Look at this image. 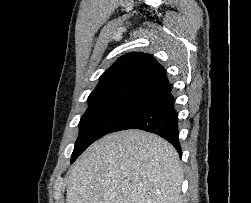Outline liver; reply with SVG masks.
Returning a JSON list of instances; mask_svg holds the SVG:
<instances>
[{"instance_id": "obj_1", "label": "liver", "mask_w": 251, "mask_h": 203, "mask_svg": "<svg viewBox=\"0 0 251 203\" xmlns=\"http://www.w3.org/2000/svg\"><path fill=\"white\" fill-rule=\"evenodd\" d=\"M183 170L174 147L141 130L108 134L78 159L66 203H182Z\"/></svg>"}]
</instances>
